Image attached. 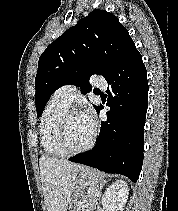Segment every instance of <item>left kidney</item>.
Returning <instances> with one entry per match:
<instances>
[{
    "label": "left kidney",
    "mask_w": 178,
    "mask_h": 211,
    "mask_svg": "<svg viewBox=\"0 0 178 211\" xmlns=\"http://www.w3.org/2000/svg\"><path fill=\"white\" fill-rule=\"evenodd\" d=\"M129 188L124 180L113 182L102 196V206L106 211H123L127 202Z\"/></svg>",
    "instance_id": "5707ae66"
}]
</instances>
